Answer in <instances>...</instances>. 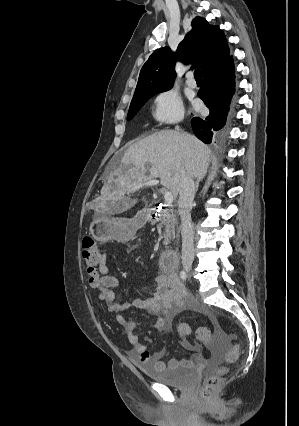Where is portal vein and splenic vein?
Here are the masks:
<instances>
[{"mask_svg":"<svg viewBox=\"0 0 299 426\" xmlns=\"http://www.w3.org/2000/svg\"><path fill=\"white\" fill-rule=\"evenodd\" d=\"M158 184H159L158 180H155V179L154 180H149V181L140 183L136 187V189L142 188L144 186H155V185H158ZM164 199H165V202L167 204H171L173 202V194L170 191L165 190L164 191Z\"/></svg>","mask_w":299,"mask_h":426,"instance_id":"portal-vein-and-splenic-vein-1","label":"portal vein and splenic vein"}]
</instances>
